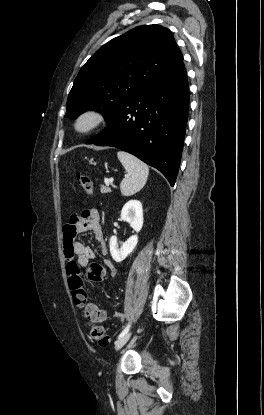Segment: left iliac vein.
I'll use <instances>...</instances> for the list:
<instances>
[{"instance_id": "4c4485c4", "label": "left iliac vein", "mask_w": 264, "mask_h": 415, "mask_svg": "<svg viewBox=\"0 0 264 415\" xmlns=\"http://www.w3.org/2000/svg\"><path fill=\"white\" fill-rule=\"evenodd\" d=\"M132 332H127L124 336H122L121 338H119L116 342H115V350H119L121 349L130 339Z\"/></svg>"}]
</instances>
